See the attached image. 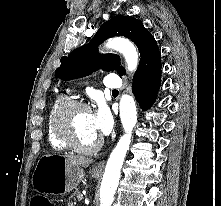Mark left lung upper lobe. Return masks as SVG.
Instances as JSON below:
<instances>
[{
  "mask_svg": "<svg viewBox=\"0 0 221 206\" xmlns=\"http://www.w3.org/2000/svg\"><path fill=\"white\" fill-rule=\"evenodd\" d=\"M120 35L131 39L141 56L133 82L161 70L160 51L154 37L141 21L130 16L118 15L105 22L90 43L75 49L68 57H62L55 77L62 80L81 78L100 67L107 71L118 69V74L124 75L125 69L120 67L119 56L114 54L100 56L97 52L98 45L104 40Z\"/></svg>",
  "mask_w": 221,
  "mask_h": 206,
  "instance_id": "5c2ea615",
  "label": "left lung upper lobe"
}]
</instances>
